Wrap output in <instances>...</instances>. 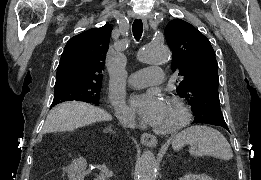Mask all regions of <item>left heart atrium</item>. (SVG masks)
Listing matches in <instances>:
<instances>
[{"label":"left heart atrium","mask_w":261,"mask_h":180,"mask_svg":"<svg viewBox=\"0 0 261 180\" xmlns=\"http://www.w3.org/2000/svg\"><path fill=\"white\" fill-rule=\"evenodd\" d=\"M164 99L155 90L132 94L129 98L128 110L151 123L162 107Z\"/></svg>","instance_id":"1"}]
</instances>
